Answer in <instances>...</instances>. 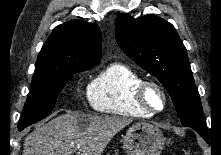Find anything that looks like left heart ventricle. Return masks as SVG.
Returning a JSON list of instances; mask_svg holds the SVG:
<instances>
[{"instance_id":"1","label":"left heart ventricle","mask_w":221,"mask_h":155,"mask_svg":"<svg viewBox=\"0 0 221 155\" xmlns=\"http://www.w3.org/2000/svg\"><path fill=\"white\" fill-rule=\"evenodd\" d=\"M147 100L153 108L159 109L162 106V97L159 92L153 88L147 91Z\"/></svg>"}]
</instances>
